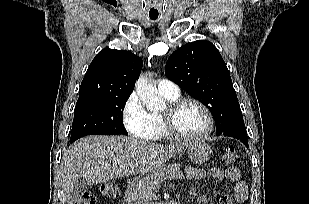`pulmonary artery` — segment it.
I'll return each instance as SVG.
<instances>
[{
    "mask_svg": "<svg viewBox=\"0 0 309 204\" xmlns=\"http://www.w3.org/2000/svg\"><path fill=\"white\" fill-rule=\"evenodd\" d=\"M157 89L160 94L170 97L179 96V87L172 81L167 79L157 80Z\"/></svg>",
    "mask_w": 309,
    "mask_h": 204,
    "instance_id": "1",
    "label": "pulmonary artery"
}]
</instances>
